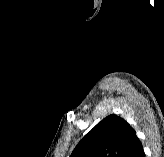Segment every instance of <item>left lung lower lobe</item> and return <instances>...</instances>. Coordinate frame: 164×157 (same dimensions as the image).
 <instances>
[{"label": "left lung lower lobe", "mask_w": 164, "mask_h": 157, "mask_svg": "<svg viewBox=\"0 0 164 157\" xmlns=\"http://www.w3.org/2000/svg\"><path fill=\"white\" fill-rule=\"evenodd\" d=\"M124 157H145L142 144L137 136L132 140Z\"/></svg>", "instance_id": "1"}]
</instances>
